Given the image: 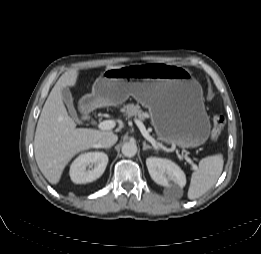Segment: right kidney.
Instances as JSON below:
<instances>
[{"label":"right kidney","instance_id":"right-kidney-1","mask_svg":"<svg viewBox=\"0 0 261 254\" xmlns=\"http://www.w3.org/2000/svg\"><path fill=\"white\" fill-rule=\"evenodd\" d=\"M107 164L108 156L103 152L81 154L71 164L70 178L76 184L92 182L104 173Z\"/></svg>","mask_w":261,"mask_h":254}]
</instances>
